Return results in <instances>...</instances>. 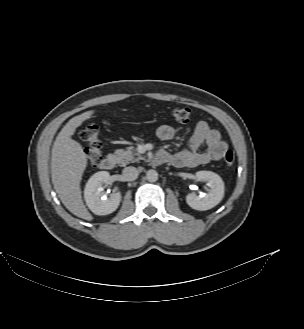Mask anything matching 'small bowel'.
<instances>
[{"label":"small bowel","mask_w":304,"mask_h":329,"mask_svg":"<svg viewBox=\"0 0 304 329\" xmlns=\"http://www.w3.org/2000/svg\"><path fill=\"white\" fill-rule=\"evenodd\" d=\"M177 134V129L171 125H161L157 129V136L161 140H170ZM206 144L205 151H199L201 145ZM228 149V144L222 140L220 133L203 120L196 123L187 146L175 153L162 150L165 160L175 167L193 168L220 160Z\"/></svg>","instance_id":"1"}]
</instances>
